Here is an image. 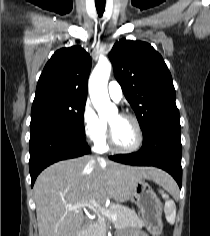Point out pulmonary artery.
I'll list each match as a JSON object with an SVG mask.
<instances>
[{
    "label": "pulmonary artery",
    "mask_w": 210,
    "mask_h": 236,
    "mask_svg": "<svg viewBox=\"0 0 210 236\" xmlns=\"http://www.w3.org/2000/svg\"><path fill=\"white\" fill-rule=\"evenodd\" d=\"M108 94L110 98L116 102L120 101L123 96L121 86L116 81H111L108 85Z\"/></svg>",
    "instance_id": "1"
}]
</instances>
